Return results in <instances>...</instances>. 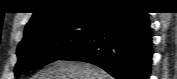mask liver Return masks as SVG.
I'll return each instance as SVG.
<instances>
[{
  "mask_svg": "<svg viewBox=\"0 0 177 79\" xmlns=\"http://www.w3.org/2000/svg\"><path fill=\"white\" fill-rule=\"evenodd\" d=\"M33 79H112L103 69L86 62L57 60Z\"/></svg>",
  "mask_w": 177,
  "mask_h": 79,
  "instance_id": "liver-1",
  "label": "liver"
}]
</instances>
